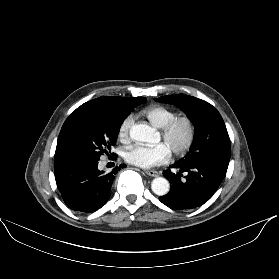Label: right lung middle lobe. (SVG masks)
Listing matches in <instances>:
<instances>
[{"label":"right lung middle lobe","instance_id":"1","mask_svg":"<svg viewBox=\"0 0 279 279\" xmlns=\"http://www.w3.org/2000/svg\"><path fill=\"white\" fill-rule=\"evenodd\" d=\"M145 100L141 97L135 105L95 109L75 117L61 129L56 157L61 162L100 160L116 144L124 119Z\"/></svg>","mask_w":279,"mask_h":279}]
</instances>
